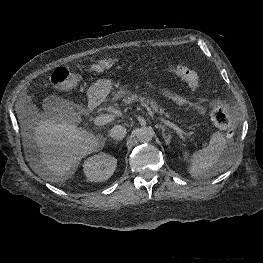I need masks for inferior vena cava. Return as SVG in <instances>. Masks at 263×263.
I'll return each instance as SVG.
<instances>
[{
	"label": "inferior vena cava",
	"instance_id": "602c4592",
	"mask_svg": "<svg viewBox=\"0 0 263 263\" xmlns=\"http://www.w3.org/2000/svg\"><path fill=\"white\" fill-rule=\"evenodd\" d=\"M109 135L116 141L122 140L126 136V128L121 125H115L110 130Z\"/></svg>",
	"mask_w": 263,
	"mask_h": 263
}]
</instances>
